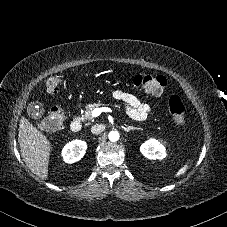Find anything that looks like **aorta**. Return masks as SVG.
<instances>
[{"label": "aorta", "mask_w": 227, "mask_h": 227, "mask_svg": "<svg viewBox=\"0 0 227 227\" xmlns=\"http://www.w3.org/2000/svg\"><path fill=\"white\" fill-rule=\"evenodd\" d=\"M108 137L111 142H116L119 140V133L117 131H111Z\"/></svg>", "instance_id": "obj_1"}]
</instances>
